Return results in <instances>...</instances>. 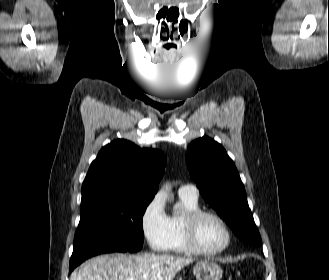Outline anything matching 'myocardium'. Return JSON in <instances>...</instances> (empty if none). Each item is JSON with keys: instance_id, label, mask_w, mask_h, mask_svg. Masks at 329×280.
Returning a JSON list of instances; mask_svg holds the SVG:
<instances>
[{"instance_id": "myocardium-1", "label": "myocardium", "mask_w": 329, "mask_h": 280, "mask_svg": "<svg viewBox=\"0 0 329 280\" xmlns=\"http://www.w3.org/2000/svg\"><path fill=\"white\" fill-rule=\"evenodd\" d=\"M204 217H211L217 220L225 230L226 241L224 245L216 250H206L202 248L197 239V227L200 220ZM183 235L185 243L190 252L206 257H214L224 253L231 245L233 240L232 231L226 220L218 213L211 210L197 209L186 214L183 222Z\"/></svg>"}]
</instances>
